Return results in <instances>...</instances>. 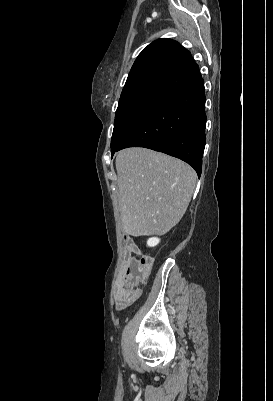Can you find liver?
<instances>
[{"instance_id":"obj_1","label":"liver","mask_w":273,"mask_h":401,"mask_svg":"<svg viewBox=\"0 0 273 401\" xmlns=\"http://www.w3.org/2000/svg\"><path fill=\"white\" fill-rule=\"evenodd\" d=\"M116 168L124 233L165 235L181 221L196 182L189 164L149 148H124Z\"/></svg>"}]
</instances>
